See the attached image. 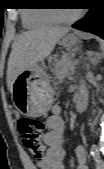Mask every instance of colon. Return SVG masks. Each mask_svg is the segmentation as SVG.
I'll return each mask as SVG.
<instances>
[{
    "mask_svg": "<svg viewBox=\"0 0 104 169\" xmlns=\"http://www.w3.org/2000/svg\"><path fill=\"white\" fill-rule=\"evenodd\" d=\"M17 127L29 153L35 159L42 160L45 155V146L42 142L44 123L36 118L22 117L18 120Z\"/></svg>",
    "mask_w": 104,
    "mask_h": 169,
    "instance_id": "colon-1",
    "label": "colon"
}]
</instances>
